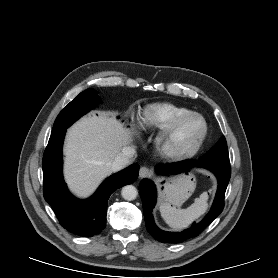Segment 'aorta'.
Returning a JSON list of instances; mask_svg holds the SVG:
<instances>
[{
    "instance_id": "762f6f07",
    "label": "aorta",
    "mask_w": 278,
    "mask_h": 278,
    "mask_svg": "<svg viewBox=\"0 0 278 278\" xmlns=\"http://www.w3.org/2000/svg\"><path fill=\"white\" fill-rule=\"evenodd\" d=\"M137 189L133 185H126L122 188L121 195L127 201H132L137 197Z\"/></svg>"
}]
</instances>
